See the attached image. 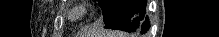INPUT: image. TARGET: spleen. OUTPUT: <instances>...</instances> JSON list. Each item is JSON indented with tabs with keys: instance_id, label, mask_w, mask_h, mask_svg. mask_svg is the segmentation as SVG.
Wrapping results in <instances>:
<instances>
[{
	"instance_id": "obj_1",
	"label": "spleen",
	"mask_w": 219,
	"mask_h": 37,
	"mask_svg": "<svg viewBox=\"0 0 219 37\" xmlns=\"http://www.w3.org/2000/svg\"><path fill=\"white\" fill-rule=\"evenodd\" d=\"M107 37H129V36H126V34L113 32V33H109V35Z\"/></svg>"
}]
</instances>
